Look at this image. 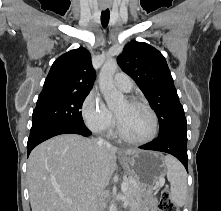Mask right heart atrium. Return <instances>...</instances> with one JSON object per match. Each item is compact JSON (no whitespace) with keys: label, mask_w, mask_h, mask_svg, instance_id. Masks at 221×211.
Returning <instances> with one entry per match:
<instances>
[{"label":"right heart atrium","mask_w":221,"mask_h":211,"mask_svg":"<svg viewBox=\"0 0 221 211\" xmlns=\"http://www.w3.org/2000/svg\"><path fill=\"white\" fill-rule=\"evenodd\" d=\"M81 111L86 126L95 133H109L115 125L113 113L96 91L86 96Z\"/></svg>","instance_id":"1"}]
</instances>
